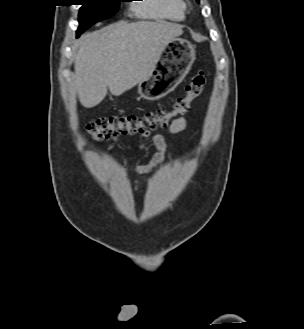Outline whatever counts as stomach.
<instances>
[{
	"label": "stomach",
	"instance_id": "1",
	"mask_svg": "<svg viewBox=\"0 0 304 329\" xmlns=\"http://www.w3.org/2000/svg\"><path fill=\"white\" fill-rule=\"evenodd\" d=\"M195 55V46L188 40L176 37L170 39L148 77L138 83L139 95L148 101L166 96L188 74Z\"/></svg>",
	"mask_w": 304,
	"mask_h": 329
}]
</instances>
